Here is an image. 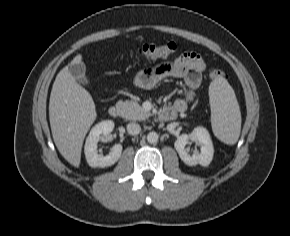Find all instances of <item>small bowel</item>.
Here are the masks:
<instances>
[{"label": "small bowel", "instance_id": "1", "mask_svg": "<svg viewBox=\"0 0 290 236\" xmlns=\"http://www.w3.org/2000/svg\"><path fill=\"white\" fill-rule=\"evenodd\" d=\"M205 68V62L200 54L185 52L172 61L164 62L152 69L138 72L134 77V84L138 88L151 89L165 79H183L187 89L183 97L178 98L171 108L184 111L188 103L195 98L196 91L201 85L202 74Z\"/></svg>", "mask_w": 290, "mask_h": 236}]
</instances>
